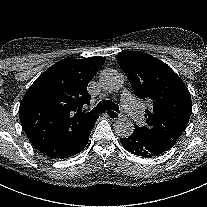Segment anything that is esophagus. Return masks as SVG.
Returning a JSON list of instances; mask_svg holds the SVG:
<instances>
[{"instance_id": "34e87169", "label": "esophagus", "mask_w": 207, "mask_h": 207, "mask_svg": "<svg viewBox=\"0 0 207 207\" xmlns=\"http://www.w3.org/2000/svg\"><path fill=\"white\" fill-rule=\"evenodd\" d=\"M106 116L111 120H117L121 117L120 113L117 111L109 110L106 112Z\"/></svg>"}]
</instances>
